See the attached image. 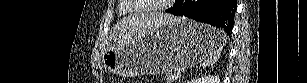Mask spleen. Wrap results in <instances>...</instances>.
Returning <instances> with one entry per match:
<instances>
[{
    "label": "spleen",
    "mask_w": 307,
    "mask_h": 83,
    "mask_svg": "<svg viewBox=\"0 0 307 83\" xmlns=\"http://www.w3.org/2000/svg\"><path fill=\"white\" fill-rule=\"evenodd\" d=\"M215 30H216V35H215L216 47L212 49L209 52V54L205 57L203 62V67L212 66L219 60L222 51V43L226 40V34L224 32L219 31L217 29Z\"/></svg>",
    "instance_id": "3e777b00"
}]
</instances>
